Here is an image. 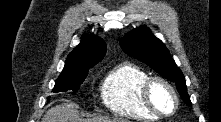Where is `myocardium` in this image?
I'll return each instance as SVG.
<instances>
[{
    "mask_svg": "<svg viewBox=\"0 0 221 122\" xmlns=\"http://www.w3.org/2000/svg\"><path fill=\"white\" fill-rule=\"evenodd\" d=\"M157 83L165 86L170 91V93L174 99V108L170 113L161 112L155 106V104L152 100V89H153V86ZM141 97H142V101H143L145 107L150 112L155 114L157 117H161V118L173 116L177 112V110L179 108V104H180L179 96H178L177 91L174 88V86L167 79H165L161 76H151L143 83V85L141 87Z\"/></svg>",
    "mask_w": 221,
    "mask_h": 122,
    "instance_id": "myocardium-1",
    "label": "myocardium"
}]
</instances>
